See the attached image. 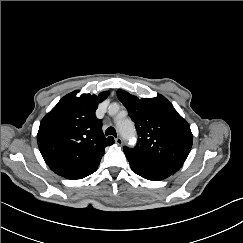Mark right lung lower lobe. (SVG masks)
<instances>
[{
  "mask_svg": "<svg viewBox=\"0 0 243 243\" xmlns=\"http://www.w3.org/2000/svg\"><path fill=\"white\" fill-rule=\"evenodd\" d=\"M96 169H97V168H95V169H93V170H91V171H89V172H87V173H85V174H82V175H80V176H78V177H76V178H72V179H82V178H84V177H86V176L92 174L93 172H95Z\"/></svg>",
  "mask_w": 243,
  "mask_h": 243,
  "instance_id": "98d812e1",
  "label": "right lung lower lobe"
}]
</instances>
